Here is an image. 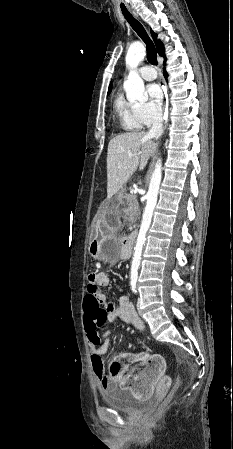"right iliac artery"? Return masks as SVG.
Returning a JSON list of instances; mask_svg holds the SVG:
<instances>
[{
  "label": "right iliac artery",
  "instance_id": "right-iliac-artery-1",
  "mask_svg": "<svg viewBox=\"0 0 233 449\" xmlns=\"http://www.w3.org/2000/svg\"><path fill=\"white\" fill-rule=\"evenodd\" d=\"M132 290H133V292H134V293H136V292H137V291H136V287H135V286H133V287H132Z\"/></svg>",
  "mask_w": 233,
  "mask_h": 449
}]
</instances>
